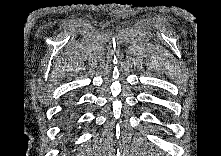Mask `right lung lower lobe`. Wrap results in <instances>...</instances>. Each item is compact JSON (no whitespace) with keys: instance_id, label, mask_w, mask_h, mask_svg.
Wrapping results in <instances>:
<instances>
[{"instance_id":"1","label":"right lung lower lobe","mask_w":221,"mask_h":156,"mask_svg":"<svg viewBox=\"0 0 221 156\" xmlns=\"http://www.w3.org/2000/svg\"><path fill=\"white\" fill-rule=\"evenodd\" d=\"M73 116H74V111L73 110H67L66 112H64L62 119L65 123H71V121L73 120Z\"/></svg>"}]
</instances>
